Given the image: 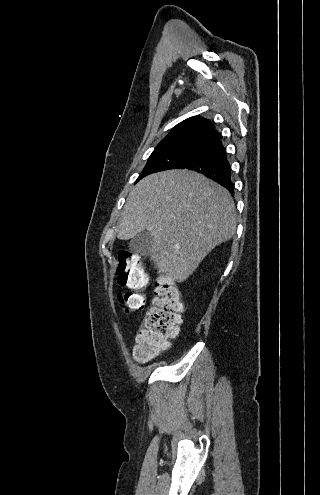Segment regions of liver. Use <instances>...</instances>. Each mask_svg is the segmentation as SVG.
<instances>
[{"instance_id": "6515ba94", "label": "liver", "mask_w": 320, "mask_h": 495, "mask_svg": "<svg viewBox=\"0 0 320 495\" xmlns=\"http://www.w3.org/2000/svg\"><path fill=\"white\" fill-rule=\"evenodd\" d=\"M148 230L150 259L160 272L185 281L213 248L236 233V209L227 189L190 170L151 174L129 193L117 237Z\"/></svg>"}]
</instances>
